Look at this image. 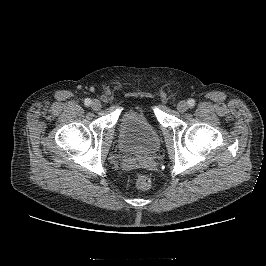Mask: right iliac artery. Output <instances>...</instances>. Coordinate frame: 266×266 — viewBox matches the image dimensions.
Returning a JSON list of instances; mask_svg holds the SVG:
<instances>
[{
    "label": "right iliac artery",
    "mask_w": 266,
    "mask_h": 266,
    "mask_svg": "<svg viewBox=\"0 0 266 266\" xmlns=\"http://www.w3.org/2000/svg\"><path fill=\"white\" fill-rule=\"evenodd\" d=\"M85 105L89 106L91 104V100L89 98L85 99Z\"/></svg>",
    "instance_id": "82829eb1"
}]
</instances>
